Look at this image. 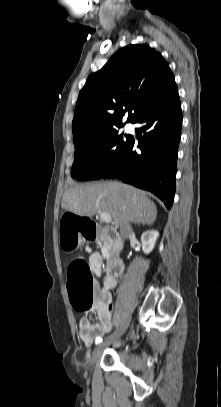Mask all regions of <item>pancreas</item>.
<instances>
[{"label":"pancreas","mask_w":221,"mask_h":407,"mask_svg":"<svg viewBox=\"0 0 221 407\" xmlns=\"http://www.w3.org/2000/svg\"><path fill=\"white\" fill-rule=\"evenodd\" d=\"M111 248H112L111 240L104 241L103 251H102L104 257H107V255H108L109 251L111 250Z\"/></svg>","instance_id":"cf45deb5"}]
</instances>
